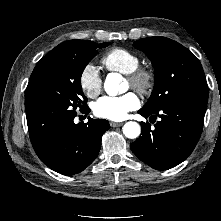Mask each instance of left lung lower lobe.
Returning a JSON list of instances; mask_svg holds the SVG:
<instances>
[{
  "instance_id": "left-lung-lower-lobe-1",
  "label": "left lung lower lobe",
  "mask_w": 221,
  "mask_h": 221,
  "mask_svg": "<svg viewBox=\"0 0 221 221\" xmlns=\"http://www.w3.org/2000/svg\"><path fill=\"white\" fill-rule=\"evenodd\" d=\"M207 100L195 97L180 98L161 109L139 110L144 117L158 115L161 121L151 129L141 123V136L130 147L144 163L157 170H167L183 162L195 148L203 126Z\"/></svg>"
}]
</instances>
